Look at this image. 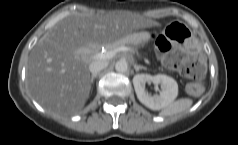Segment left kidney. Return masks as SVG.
Instances as JSON below:
<instances>
[{
	"label": "left kidney",
	"mask_w": 238,
	"mask_h": 145,
	"mask_svg": "<svg viewBox=\"0 0 238 145\" xmlns=\"http://www.w3.org/2000/svg\"><path fill=\"white\" fill-rule=\"evenodd\" d=\"M161 85L159 95H149L145 90L146 83ZM133 85L139 101L152 110H160L175 100L178 95L177 82L164 74L151 76L149 74H137L133 78Z\"/></svg>",
	"instance_id": "left-kidney-1"
}]
</instances>
